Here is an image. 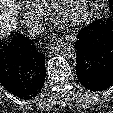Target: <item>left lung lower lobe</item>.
<instances>
[{
  "label": "left lung lower lobe",
  "mask_w": 113,
  "mask_h": 113,
  "mask_svg": "<svg viewBox=\"0 0 113 113\" xmlns=\"http://www.w3.org/2000/svg\"><path fill=\"white\" fill-rule=\"evenodd\" d=\"M76 75L88 90L102 91L113 84V20L98 19L77 35Z\"/></svg>",
  "instance_id": "obj_1"
}]
</instances>
